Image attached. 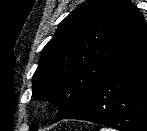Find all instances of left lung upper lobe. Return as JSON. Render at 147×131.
I'll return each mask as SVG.
<instances>
[{
  "mask_svg": "<svg viewBox=\"0 0 147 131\" xmlns=\"http://www.w3.org/2000/svg\"><path fill=\"white\" fill-rule=\"evenodd\" d=\"M147 43V25L129 0H87L58 26L33 75L32 97L55 102L65 119L124 58Z\"/></svg>",
  "mask_w": 147,
  "mask_h": 131,
  "instance_id": "obj_1",
  "label": "left lung upper lobe"
}]
</instances>
